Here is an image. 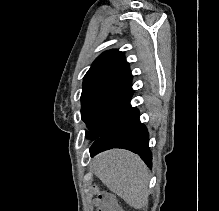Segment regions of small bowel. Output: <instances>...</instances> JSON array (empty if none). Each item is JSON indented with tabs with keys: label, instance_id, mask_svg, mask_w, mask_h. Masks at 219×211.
<instances>
[{
	"label": "small bowel",
	"instance_id": "1",
	"mask_svg": "<svg viewBox=\"0 0 219 211\" xmlns=\"http://www.w3.org/2000/svg\"><path fill=\"white\" fill-rule=\"evenodd\" d=\"M99 209L97 211H122L117 205L115 199L112 195L108 193H103L99 201Z\"/></svg>",
	"mask_w": 219,
	"mask_h": 211
}]
</instances>
